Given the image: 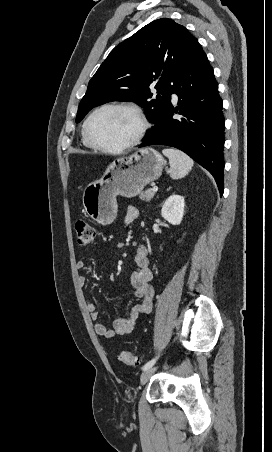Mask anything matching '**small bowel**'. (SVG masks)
Masks as SVG:
<instances>
[{
  "instance_id": "1",
  "label": "small bowel",
  "mask_w": 272,
  "mask_h": 452,
  "mask_svg": "<svg viewBox=\"0 0 272 452\" xmlns=\"http://www.w3.org/2000/svg\"><path fill=\"white\" fill-rule=\"evenodd\" d=\"M139 217V210L135 206H129L126 210L125 224L129 225L137 220ZM134 261L136 270L131 275V284L135 289V295L140 299V302L134 305L128 314L123 318L117 319L113 322L111 329L107 328L103 323L99 322L100 317L96 303L90 301L87 303V309L90 312L91 318L96 321L94 325L95 333L106 339H113L117 336H123L131 333L137 323L140 315L147 314L151 311L154 301V288L151 285L153 279V272L150 268L148 257V249L145 245H138L136 248ZM78 270L85 267L84 261L76 263ZM87 277L81 275L79 283L82 286L87 284Z\"/></svg>"
}]
</instances>
